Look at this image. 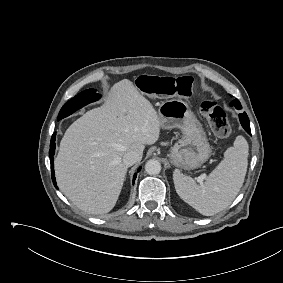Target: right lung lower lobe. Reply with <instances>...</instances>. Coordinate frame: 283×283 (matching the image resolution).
I'll return each instance as SVG.
<instances>
[{
  "mask_svg": "<svg viewBox=\"0 0 283 283\" xmlns=\"http://www.w3.org/2000/svg\"><path fill=\"white\" fill-rule=\"evenodd\" d=\"M55 140H56V133H53L52 138H51V142H50V150H49V157H50V163H51V174H52V181L54 186L57 188L56 186V181H55V174H54V153H55ZM141 168L138 169V171H140ZM136 179V174L133 177V182Z\"/></svg>",
  "mask_w": 283,
  "mask_h": 283,
  "instance_id": "right-lung-lower-lobe-1",
  "label": "right lung lower lobe"
}]
</instances>
